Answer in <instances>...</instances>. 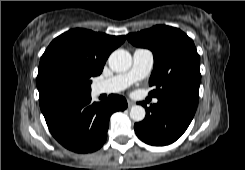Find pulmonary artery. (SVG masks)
Masks as SVG:
<instances>
[{
	"mask_svg": "<svg viewBox=\"0 0 245 170\" xmlns=\"http://www.w3.org/2000/svg\"><path fill=\"white\" fill-rule=\"evenodd\" d=\"M154 57L153 53L149 49L137 48L133 52V64L128 72L117 74L109 79L99 82L95 86V92L97 94H109L118 93L137 80L146 77L153 65ZM154 103L158 100L154 99Z\"/></svg>",
	"mask_w": 245,
	"mask_h": 170,
	"instance_id": "obj_1",
	"label": "pulmonary artery"
}]
</instances>
